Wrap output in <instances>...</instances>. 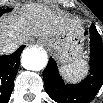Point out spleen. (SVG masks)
Returning a JSON list of instances; mask_svg holds the SVG:
<instances>
[{"instance_id":"3e777b00","label":"spleen","mask_w":103,"mask_h":103,"mask_svg":"<svg viewBox=\"0 0 103 103\" xmlns=\"http://www.w3.org/2000/svg\"><path fill=\"white\" fill-rule=\"evenodd\" d=\"M60 72L67 81L76 82L88 73V67L85 60L78 59L71 64L62 66Z\"/></svg>"}]
</instances>
